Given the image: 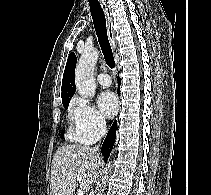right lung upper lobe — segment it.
<instances>
[{
    "instance_id": "obj_1",
    "label": "right lung upper lobe",
    "mask_w": 211,
    "mask_h": 195,
    "mask_svg": "<svg viewBox=\"0 0 211 195\" xmlns=\"http://www.w3.org/2000/svg\"><path fill=\"white\" fill-rule=\"evenodd\" d=\"M76 56L74 53H70L64 75L62 80V102L66 103L69 102L72 98L73 94L75 93V79H74V72H75V66H76Z\"/></svg>"
}]
</instances>
